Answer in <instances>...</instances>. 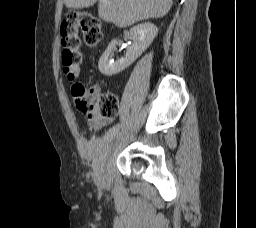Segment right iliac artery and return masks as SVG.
I'll use <instances>...</instances> for the list:
<instances>
[{"label":"right iliac artery","instance_id":"82829eb1","mask_svg":"<svg viewBox=\"0 0 256 228\" xmlns=\"http://www.w3.org/2000/svg\"><path fill=\"white\" fill-rule=\"evenodd\" d=\"M122 124H116L110 129V134L113 135L115 131L119 130Z\"/></svg>","mask_w":256,"mask_h":228}]
</instances>
